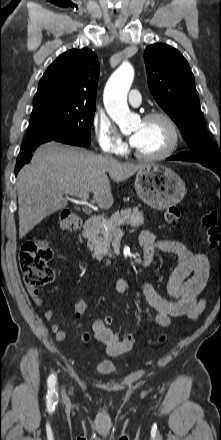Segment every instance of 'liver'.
Segmentation results:
<instances>
[{
	"instance_id": "liver-1",
	"label": "liver",
	"mask_w": 221,
	"mask_h": 440,
	"mask_svg": "<svg viewBox=\"0 0 221 440\" xmlns=\"http://www.w3.org/2000/svg\"><path fill=\"white\" fill-rule=\"evenodd\" d=\"M144 166L143 163H122L56 142L41 145L17 176L19 238L45 217L66 208V191L92 193L100 208L109 209L114 198L108 174L118 183Z\"/></svg>"
}]
</instances>
